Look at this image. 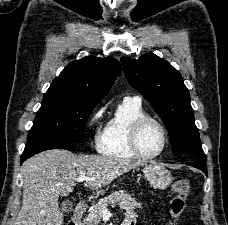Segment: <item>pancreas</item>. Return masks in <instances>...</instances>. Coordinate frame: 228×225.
I'll list each match as a JSON object with an SVG mask.
<instances>
[{
    "mask_svg": "<svg viewBox=\"0 0 228 225\" xmlns=\"http://www.w3.org/2000/svg\"><path fill=\"white\" fill-rule=\"evenodd\" d=\"M108 205H111V207L119 205L120 209H130V211H134V209H141L140 203H136L132 195H128L126 191H115V193H111L109 197L100 199V201H98V205H94V207H92L89 215H86L84 219L85 225H100V221L102 219V209L103 207H108Z\"/></svg>",
    "mask_w": 228,
    "mask_h": 225,
    "instance_id": "1",
    "label": "pancreas"
}]
</instances>
